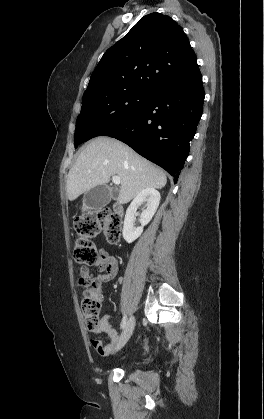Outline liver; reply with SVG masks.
<instances>
[{
	"label": "liver",
	"mask_w": 264,
	"mask_h": 419,
	"mask_svg": "<svg viewBox=\"0 0 264 419\" xmlns=\"http://www.w3.org/2000/svg\"><path fill=\"white\" fill-rule=\"evenodd\" d=\"M113 176H118L121 187L118 202L126 204L146 188H163L166 174L137 154L126 144L109 137L91 140L79 154L70 169L66 193L70 201L90 189L105 185Z\"/></svg>",
	"instance_id": "obj_1"
}]
</instances>
